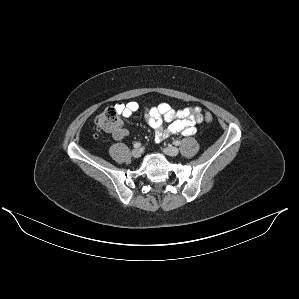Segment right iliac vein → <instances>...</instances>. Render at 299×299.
<instances>
[{"instance_id": "obj_1", "label": "right iliac vein", "mask_w": 299, "mask_h": 299, "mask_svg": "<svg viewBox=\"0 0 299 299\" xmlns=\"http://www.w3.org/2000/svg\"><path fill=\"white\" fill-rule=\"evenodd\" d=\"M131 154L134 158H139L141 156V151L136 148V149L132 150Z\"/></svg>"}]
</instances>
